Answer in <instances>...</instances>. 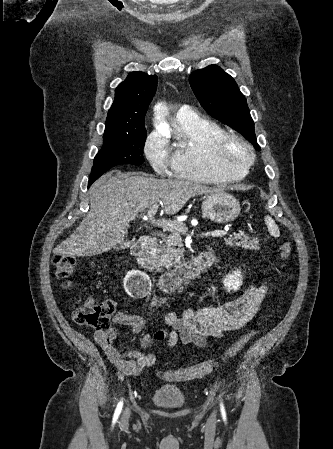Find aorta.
I'll use <instances>...</instances> for the list:
<instances>
[{
	"mask_svg": "<svg viewBox=\"0 0 333 449\" xmlns=\"http://www.w3.org/2000/svg\"><path fill=\"white\" fill-rule=\"evenodd\" d=\"M164 134H168L169 133V131L168 132H163Z\"/></svg>",
	"mask_w": 333,
	"mask_h": 449,
	"instance_id": "aorta-1",
	"label": "aorta"
}]
</instances>
